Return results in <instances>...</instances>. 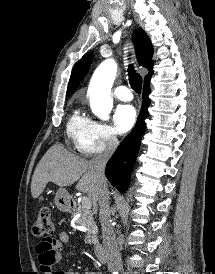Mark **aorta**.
<instances>
[{
	"label": "aorta",
	"instance_id": "1",
	"mask_svg": "<svg viewBox=\"0 0 215 274\" xmlns=\"http://www.w3.org/2000/svg\"><path fill=\"white\" fill-rule=\"evenodd\" d=\"M117 65L113 59L103 61L94 72L89 84L90 107L102 120H108L113 106L111 88L116 76Z\"/></svg>",
	"mask_w": 215,
	"mask_h": 274
}]
</instances>
